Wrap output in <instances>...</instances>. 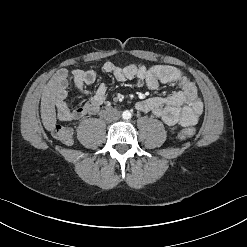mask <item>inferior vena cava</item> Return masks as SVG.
<instances>
[{
  "label": "inferior vena cava",
  "mask_w": 247,
  "mask_h": 247,
  "mask_svg": "<svg viewBox=\"0 0 247 247\" xmlns=\"http://www.w3.org/2000/svg\"><path fill=\"white\" fill-rule=\"evenodd\" d=\"M104 118L109 122L116 121L120 118V112L114 108L108 109L104 113Z\"/></svg>",
  "instance_id": "1"
}]
</instances>
